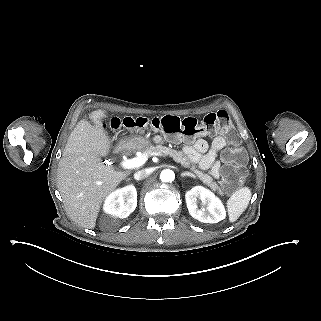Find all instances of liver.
<instances>
[{"label":"liver","instance_id":"1","mask_svg":"<svg viewBox=\"0 0 321 321\" xmlns=\"http://www.w3.org/2000/svg\"><path fill=\"white\" fill-rule=\"evenodd\" d=\"M107 111L90 112L71 132L57 170V184L66 211L79 226L94 229L106 198L131 171H115L103 164L113 140L105 128Z\"/></svg>","mask_w":321,"mask_h":321}]
</instances>
